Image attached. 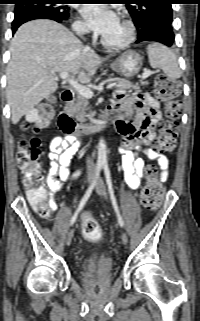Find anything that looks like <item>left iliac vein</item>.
Here are the masks:
<instances>
[{
	"label": "left iliac vein",
	"instance_id": "4c4485c4",
	"mask_svg": "<svg viewBox=\"0 0 200 321\" xmlns=\"http://www.w3.org/2000/svg\"><path fill=\"white\" fill-rule=\"evenodd\" d=\"M96 192L102 198L107 199L106 188L101 178L98 179V182L96 185ZM121 239L123 244H126L128 242V237L125 233L122 234Z\"/></svg>",
	"mask_w": 200,
	"mask_h": 321
}]
</instances>
